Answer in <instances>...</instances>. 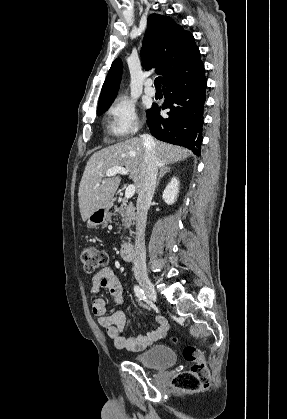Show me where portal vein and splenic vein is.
<instances>
[{
    "label": "portal vein and splenic vein",
    "mask_w": 287,
    "mask_h": 419,
    "mask_svg": "<svg viewBox=\"0 0 287 419\" xmlns=\"http://www.w3.org/2000/svg\"><path fill=\"white\" fill-rule=\"evenodd\" d=\"M116 174H121V175H127L128 174V170H126L124 167H114L109 169L106 172V176L107 177H111V176H115ZM135 194V185L130 184L125 191V199H129L132 196H134Z\"/></svg>",
    "instance_id": "1"
}]
</instances>
